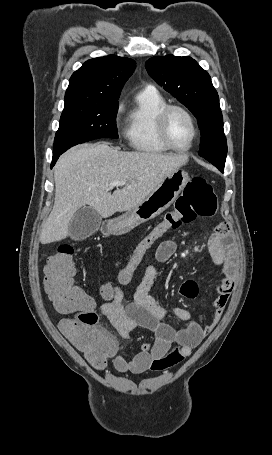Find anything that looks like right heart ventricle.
I'll use <instances>...</instances> for the list:
<instances>
[{"mask_svg":"<svg viewBox=\"0 0 272 455\" xmlns=\"http://www.w3.org/2000/svg\"><path fill=\"white\" fill-rule=\"evenodd\" d=\"M167 104L165 98L153 87L139 91L127 115L125 135L133 150L148 153H165L169 149L160 140L156 117Z\"/></svg>","mask_w":272,"mask_h":455,"instance_id":"obj_1","label":"right heart ventricle"}]
</instances>
